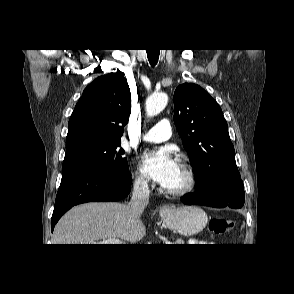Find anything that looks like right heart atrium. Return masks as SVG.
Returning <instances> with one entry per match:
<instances>
[{
  "instance_id": "obj_1",
  "label": "right heart atrium",
  "mask_w": 294,
  "mask_h": 294,
  "mask_svg": "<svg viewBox=\"0 0 294 294\" xmlns=\"http://www.w3.org/2000/svg\"><path fill=\"white\" fill-rule=\"evenodd\" d=\"M133 184L137 189L145 191L148 189L149 180L142 173L136 172Z\"/></svg>"
}]
</instances>
